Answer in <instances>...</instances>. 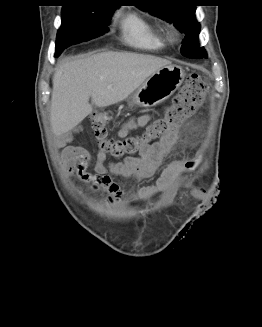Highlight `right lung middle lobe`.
Returning <instances> with one entry per match:
<instances>
[{"instance_id": "right-lung-middle-lobe-1", "label": "right lung middle lobe", "mask_w": 262, "mask_h": 327, "mask_svg": "<svg viewBox=\"0 0 262 327\" xmlns=\"http://www.w3.org/2000/svg\"><path fill=\"white\" fill-rule=\"evenodd\" d=\"M111 7L91 4H72L63 7L61 26L56 39L55 56L66 47L108 32Z\"/></svg>"}]
</instances>
